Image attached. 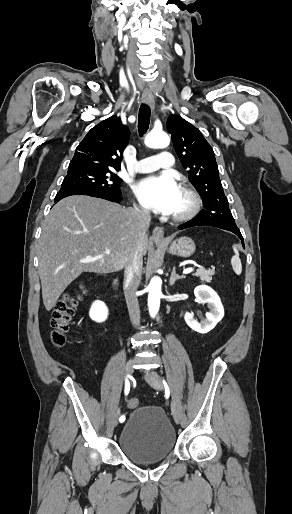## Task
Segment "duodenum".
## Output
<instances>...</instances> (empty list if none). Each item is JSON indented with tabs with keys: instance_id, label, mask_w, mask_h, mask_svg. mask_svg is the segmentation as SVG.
Masks as SVG:
<instances>
[{
	"instance_id": "duodenum-1",
	"label": "duodenum",
	"mask_w": 292,
	"mask_h": 514,
	"mask_svg": "<svg viewBox=\"0 0 292 514\" xmlns=\"http://www.w3.org/2000/svg\"><path fill=\"white\" fill-rule=\"evenodd\" d=\"M119 286V279H114L112 282V304L114 306L118 305V298H117V288Z\"/></svg>"
}]
</instances>
